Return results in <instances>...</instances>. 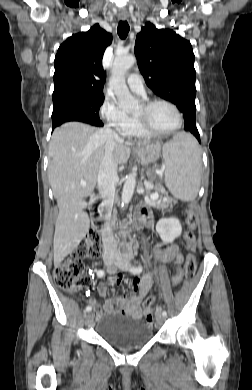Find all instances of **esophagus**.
I'll return each mask as SVG.
<instances>
[{"label": "esophagus", "instance_id": "1", "mask_svg": "<svg viewBox=\"0 0 252 390\" xmlns=\"http://www.w3.org/2000/svg\"><path fill=\"white\" fill-rule=\"evenodd\" d=\"M121 19H122V20H126L127 17H126V16H121Z\"/></svg>", "mask_w": 252, "mask_h": 390}]
</instances>
